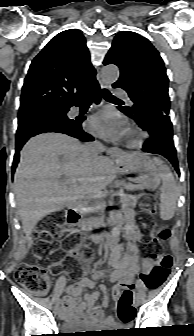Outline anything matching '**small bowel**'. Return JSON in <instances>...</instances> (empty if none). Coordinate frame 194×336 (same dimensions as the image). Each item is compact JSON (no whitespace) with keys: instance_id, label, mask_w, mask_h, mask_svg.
Segmentation results:
<instances>
[{"instance_id":"small-bowel-1","label":"small bowel","mask_w":194,"mask_h":336,"mask_svg":"<svg viewBox=\"0 0 194 336\" xmlns=\"http://www.w3.org/2000/svg\"><path fill=\"white\" fill-rule=\"evenodd\" d=\"M132 211H125V242L122 246L113 249L110 257L114 270L109 274V279L117 283L118 288L129 286L138 272L137 262L141 259L142 271L149 273L153 270L155 262L149 258L142 257L137 246L140 233L133 224ZM124 249V252H122ZM56 267L61 263L55 264ZM82 270L86 273L89 271V265L83 263ZM105 273L102 271L94 272L90 277H83L78 282L72 284L68 288V296L64 298V309L62 317L74 324H84V326H97L105 324L113 326L116 322L110 318L100 316V308L95 306V302L100 296V292L104 294L103 307L108 306V298L106 296V288L98 283ZM86 288H97L91 293H86L81 301L80 296ZM116 296H119L116 291ZM81 326V325H80Z\"/></svg>"}]
</instances>
